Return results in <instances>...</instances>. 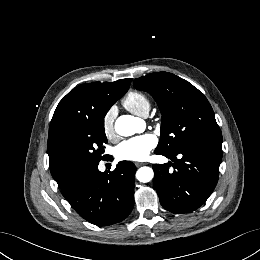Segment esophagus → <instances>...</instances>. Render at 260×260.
<instances>
[{"label": "esophagus", "mask_w": 260, "mask_h": 260, "mask_svg": "<svg viewBox=\"0 0 260 260\" xmlns=\"http://www.w3.org/2000/svg\"><path fill=\"white\" fill-rule=\"evenodd\" d=\"M141 165H143L142 162H135V166H136V167H140Z\"/></svg>", "instance_id": "obj_1"}]
</instances>
